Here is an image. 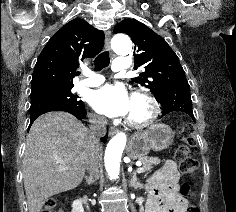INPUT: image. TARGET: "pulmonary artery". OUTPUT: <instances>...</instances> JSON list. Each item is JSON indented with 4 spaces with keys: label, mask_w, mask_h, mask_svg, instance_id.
I'll return each mask as SVG.
<instances>
[{
    "label": "pulmonary artery",
    "mask_w": 236,
    "mask_h": 212,
    "mask_svg": "<svg viewBox=\"0 0 236 212\" xmlns=\"http://www.w3.org/2000/svg\"><path fill=\"white\" fill-rule=\"evenodd\" d=\"M130 67L129 61L125 58L118 57L115 59L112 69L113 71H123ZM104 77L92 72H86L85 78L78 83L79 87H96L103 83Z\"/></svg>",
    "instance_id": "obj_1"
}]
</instances>
